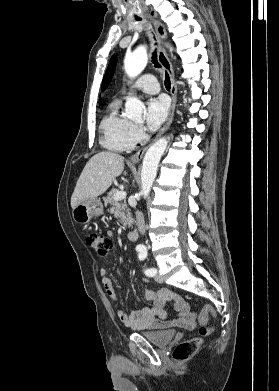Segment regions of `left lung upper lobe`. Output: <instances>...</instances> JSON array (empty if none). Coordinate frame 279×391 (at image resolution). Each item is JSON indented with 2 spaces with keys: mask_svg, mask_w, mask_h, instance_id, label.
Returning a JSON list of instances; mask_svg holds the SVG:
<instances>
[{
  "mask_svg": "<svg viewBox=\"0 0 279 391\" xmlns=\"http://www.w3.org/2000/svg\"><path fill=\"white\" fill-rule=\"evenodd\" d=\"M116 61H117V55L114 54L109 62V65H108V68H107V71L104 75V78H103V84H102V90H104L108 83L111 81L112 79V76L114 74V71H115V67H116Z\"/></svg>",
  "mask_w": 279,
  "mask_h": 391,
  "instance_id": "1",
  "label": "left lung upper lobe"
}]
</instances>
